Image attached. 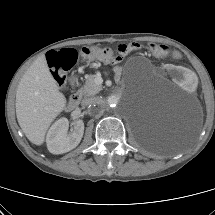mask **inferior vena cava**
<instances>
[{
	"label": "inferior vena cava",
	"mask_w": 215,
	"mask_h": 215,
	"mask_svg": "<svg viewBox=\"0 0 215 215\" xmlns=\"http://www.w3.org/2000/svg\"><path fill=\"white\" fill-rule=\"evenodd\" d=\"M99 102V98L97 97H91V98H86L82 101L83 106H88L90 104H95Z\"/></svg>",
	"instance_id": "1"
}]
</instances>
